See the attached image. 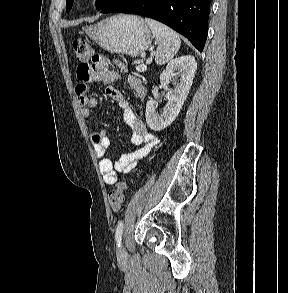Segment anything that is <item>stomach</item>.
<instances>
[{"instance_id": "1", "label": "stomach", "mask_w": 288, "mask_h": 293, "mask_svg": "<svg viewBox=\"0 0 288 293\" xmlns=\"http://www.w3.org/2000/svg\"><path fill=\"white\" fill-rule=\"evenodd\" d=\"M83 31L104 50L131 57L147 50L153 38L148 25L134 15H114Z\"/></svg>"}]
</instances>
